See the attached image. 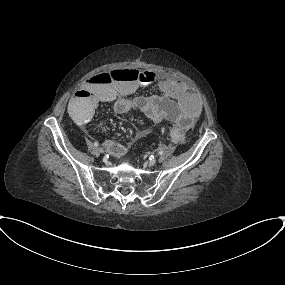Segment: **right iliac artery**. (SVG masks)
<instances>
[{
	"instance_id": "82829eb1",
	"label": "right iliac artery",
	"mask_w": 285,
	"mask_h": 285,
	"mask_svg": "<svg viewBox=\"0 0 285 285\" xmlns=\"http://www.w3.org/2000/svg\"><path fill=\"white\" fill-rule=\"evenodd\" d=\"M94 146L98 147L99 146V143L97 141H95L94 143Z\"/></svg>"
}]
</instances>
